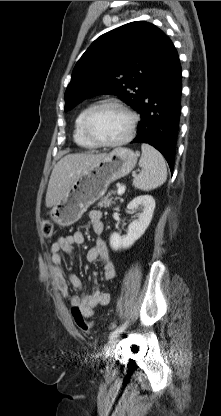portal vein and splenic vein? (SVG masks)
Listing matches in <instances>:
<instances>
[{
  "label": "portal vein and splenic vein",
  "mask_w": 221,
  "mask_h": 416,
  "mask_svg": "<svg viewBox=\"0 0 221 416\" xmlns=\"http://www.w3.org/2000/svg\"><path fill=\"white\" fill-rule=\"evenodd\" d=\"M124 192H125V187L124 186L118 187V190H117L118 195H122V194H124Z\"/></svg>",
  "instance_id": "portal-vein-and-splenic-vein-1"
}]
</instances>
